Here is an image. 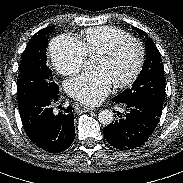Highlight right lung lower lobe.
<instances>
[{"label":"right lung lower lobe","instance_id":"right-lung-lower-lobe-1","mask_svg":"<svg viewBox=\"0 0 183 183\" xmlns=\"http://www.w3.org/2000/svg\"><path fill=\"white\" fill-rule=\"evenodd\" d=\"M57 100L58 93L54 96L32 95L18 105L27 136L36 146L50 153L66 150L75 138L72 107L55 114L52 103Z\"/></svg>","mask_w":183,"mask_h":183}]
</instances>
